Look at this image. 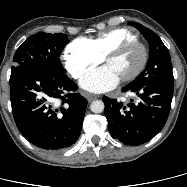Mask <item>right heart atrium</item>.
I'll return each instance as SVG.
<instances>
[{"instance_id":"d8ad5b80","label":"right heart atrium","mask_w":187,"mask_h":187,"mask_svg":"<svg viewBox=\"0 0 187 187\" xmlns=\"http://www.w3.org/2000/svg\"><path fill=\"white\" fill-rule=\"evenodd\" d=\"M63 60L68 72L75 79H80L100 64L102 57L93 50L87 39L79 38L65 47Z\"/></svg>"}]
</instances>
